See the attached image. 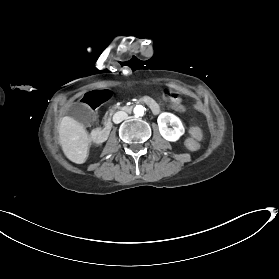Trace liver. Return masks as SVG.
I'll return each instance as SVG.
<instances>
[{"instance_id": "liver-1", "label": "liver", "mask_w": 279, "mask_h": 279, "mask_svg": "<svg viewBox=\"0 0 279 279\" xmlns=\"http://www.w3.org/2000/svg\"><path fill=\"white\" fill-rule=\"evenodd\" d=\"M59 139L70 161L77 164L86 161L90 140L81 123L71 117H63L59 126Z\"/></svg>"}]
</instances>
